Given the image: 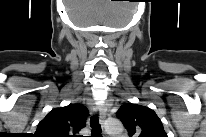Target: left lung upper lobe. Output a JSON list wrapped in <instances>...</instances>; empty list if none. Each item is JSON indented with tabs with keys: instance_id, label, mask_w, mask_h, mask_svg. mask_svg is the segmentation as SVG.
Masks as SVG:
<instances>
[{
	"instance_id": "obj_1",
	"label": "left lung upper lobe",
	"mask_w": 206,
	"mask_h": 137,
	"mask_svg": "<svg viewBox=\"0 0 206 137\" xmlns=\"http://www.w3.org/2000/svg\"><path fill=\"white\" fill-rule=\"evenodd\" d=\"M130 137H167L157 114L150 108L127 103L116 113Z\"/></svg>"
}]
</instances>
